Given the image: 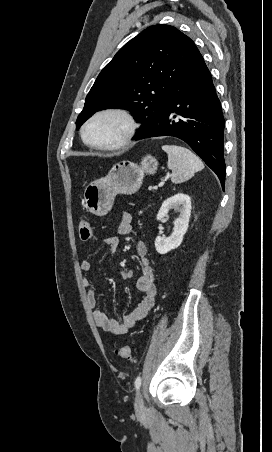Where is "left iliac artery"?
<instances>
[{"label": "left iliac artery", "mask_w": 272, "mask_h": 452, "mask_svg": "<svg viewBox=\"0 0 272 452\" xmlns=\"http://www.w3.org/2000/svg\"><path fill=\"white\" fill-rule=\"evenodd\" d=\"M141 386V377L138 376L135 380V388L138 390Z\"/></svg>", "instance_id": "1"}]
</instances>
